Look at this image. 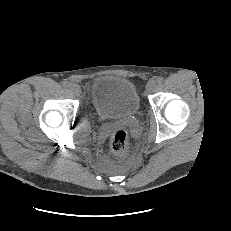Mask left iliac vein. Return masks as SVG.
<instances>
[{"label": "left iliac vein", "mask_w": 231, "mask_h": 231, "mask_svg": "<svg viewBox=\"0 0 231 231\" xmlns=\"http://www.w3.org/2000/svg\"><path fill=\"white\" fill-rule=\"evenodd\" d=\"M155 87H156V81L153 79H150L146 84L147 92H151Z\"/></svg>", "instance_id": "left-iliac-vein-1"}]
</instances>
